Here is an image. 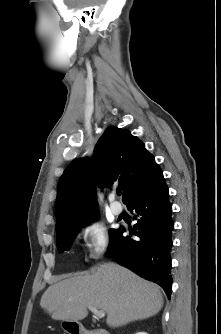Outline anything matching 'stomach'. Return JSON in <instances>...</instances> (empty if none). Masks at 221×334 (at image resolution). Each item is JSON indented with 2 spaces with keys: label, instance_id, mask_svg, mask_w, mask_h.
<instances>
[{
  "label": "stomach",
  "instance_id": "stomach-1",
  "mask_svg": "<svg viewBox=\"0 0 221 334\" xmlns=\"http://www.w3.org/2000/svg\"><path fill=\"white\" fill-rule=\"evenodd\" d=\"M69 322H67V321H64L63 323H62V328L63 329H67L68 328V324Z\"/></svg>",
  "mask_w": 221,
  "mask_h": 334
}]
</instances>
